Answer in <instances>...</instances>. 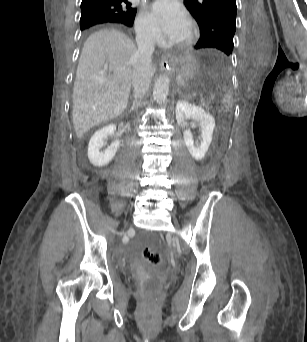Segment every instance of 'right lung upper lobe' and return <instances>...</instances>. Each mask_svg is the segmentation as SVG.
<instances>
[{
  "mask_svg": "<svg viewBox=\"0 0 307 342\" xmlns=\"http://www.w3.org/2000/svg\"><path fill=\"white\" fill-rule=\"evenodd\" d=\"M131 5L132 4L128 2V0H82L81 10L109 9L116 11L120 16L117 19L108 22L123 24L125 26L131 27L136 15V9L132 8Z\"/></svg>",
  "mask_w": 307,
  "mask_h": 342,
  "instance_id": "cb5924a9",
  "label": "right lung upper lobe"
}]
</instances>
